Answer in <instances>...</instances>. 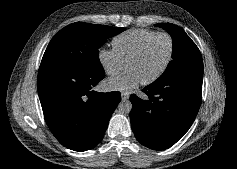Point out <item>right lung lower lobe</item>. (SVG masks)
<instances>
[{
  "label": "right lung lower lobe",
  "instance_id": "98d812e1",
  "mask_svg": "<svg viewBox=\"0 0 237 169\" xmlns=\"http://www.w3.org/2000/svg\"><path fill=\"white\" fill-rule=\"evenodd\" d=\"M104 70L84 72L40 66L38 93L48 127L58 141L74 151H86L102 140L120 92L90 91Z\"/></svg>",
  "mask_w": 237,
  "mask_h": 169
}]
</instances>
